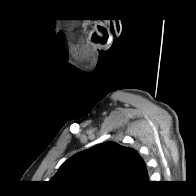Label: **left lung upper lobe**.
<instances>
[{"mask_svg":"<svg viewBox=\"0 0 196 196\" xmlns=\"http://www.w3.org/2000/svg\"><path fill=\"white\" fill-rule=\"evenodd\" d=\"M148 181L139 153L104 142L66 160L51 179L56 187L91 194L127 193Z\"/></svg>","mask_w":196,"mask_h":196,"instance_id":"5c2ea615","label":"left lung upper lobe"}]
</instances>
